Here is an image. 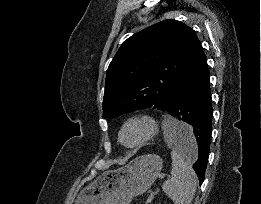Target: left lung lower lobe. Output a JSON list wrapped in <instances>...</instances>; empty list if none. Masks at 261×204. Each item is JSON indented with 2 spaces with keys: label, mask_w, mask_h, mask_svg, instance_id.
Returning a JSON list of instances; mask_svg holds the SVG:
<instances>
[{
  "label": "left lung lower lobe",
  "mask_w": 261,
  "mask_h": 204,
  "mask_svg": "<svg viewBox=\"0 0 261 204\" xmlns=\"http://www.w3.org/2000/svg\"><path fill=\"white\" fill-rule=\"evenodd\" d=\"M211 102L207 59L198 40L166 111L187 124L188 132L176 133V142L195 158L193 169L200 185L209 156L213 118Z\"/></svg>",
  "instance_id": "0a47b994"
}]
</instances>
